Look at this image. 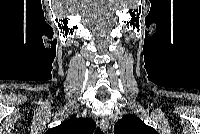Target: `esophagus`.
I'll return each mask as SVG.
<instances>
[{
  "label": "esophagus",
  "instance_id": "1",
  "mask_svg": "<svg viewBox=\"0 0 200 134\" xmlns=\"http://www.w3.org/2000/svg\"><path fill=\"white\" fill-rule=\"evenodd\" d=\"M109 128V120L105 117L100 120V129L102 131H107Z\"/></svg>",
  "mask_w": 200,
  "mask_h": 134
}]
</instances>
